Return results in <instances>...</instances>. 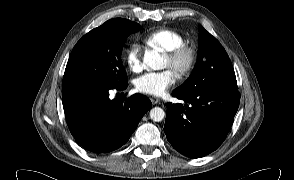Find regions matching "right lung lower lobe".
Listing matches in <instances>:
<instances>
[{"label": "right lung lower lobe", "mask_w": 294, "mask_h": 180, "mask_svg": "<svg viewBox=\"0 0 294 180\" xmlns=\"http://www.w3.org/2000/svg\"><path fill=\"white\" fill-rule=\"evenodd\" d=\"M128 83L115 87L124 90ZM108 86L79 84L62 88V102L71 134L85 149L107 153L124 145L152 107L141 94L110 99Z\"/></svg>", "instance_id": "98d812e1"}]
</instances>
